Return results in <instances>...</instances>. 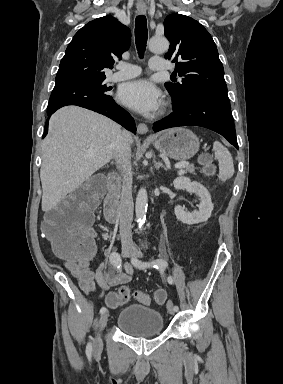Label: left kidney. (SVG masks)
<instances>
[{"mask_svg": "<svg viewBox=\"0 0 283 384\" xmlns=\"http://www.w3.org/2000/svg\"><path fill=\"white\" fill-rule=\"evenodd\" d=\"M173 186L175 190H187L190 194H196L201 200L198 206L199 212H192V214L185 212L181 206H176L174 212L177 220H180L183 224H189V226L190 224L207 222L213 210V204L208 190H206L202 184H199V182H191L189 178H184V176L176 178L173 182Z\"/></svg>", "mask_w": 283, "mask_h": 384, "instance_id": "left-kidney-1", "label": "left kidney"}]
</instances>
